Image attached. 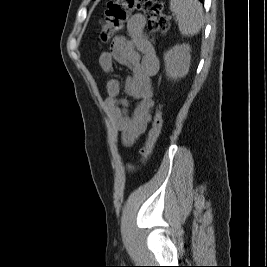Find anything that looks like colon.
<instances>
[{
	"mask_svg": "<svg viewBox=\"0 0 267 267\" xmlns=\"http://www.w3.org/2000/svg\"><path fill=\"white\" fill-rule=\"evenodd\" d=\"M142 12L148 20V29L152 33L165 32L169 28V19L163 12V4L156 0H109L105 11L100 38L108 41L120 32L133 11ZM163 124L162 112L158 108L154 114L151 129L146 141L140 149L141 162L146 163L154 149V145L161 133ZM133 172L136 168L128 165Z\"/></svg>",
	"mask_w": 267,
	"mask_h": 267,
	"instance_id": "colon-1",
	"label": "colon"
}]
</instances>
